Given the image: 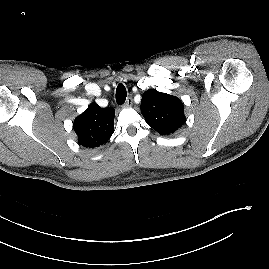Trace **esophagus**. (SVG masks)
Wrapping results in <instances>:
<instances>
[{
	"label": "esophagus",
	"instance_id": "esophagus-1",
	"mask_svg": "<svg viewBox=\"0 0 269 269\" xmlns=\"http://www.w3.org/2000/svg\"><path fill=\"white\" fill-rule=\"evenodd\" d=\"M133 103V100L131 97H128L126 102L124 103L123 107H131Z\"/></svg>",
	"mask_w": 269,
	"mask_h": 269
}]
</instances>
